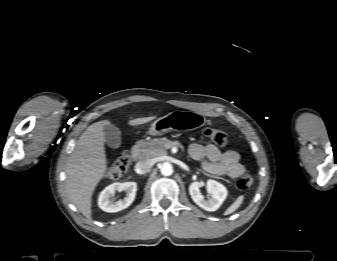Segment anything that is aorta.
<instances>
[{
	"label": "aorta",
	"mask_w": 337,
	"mask_h": 261,
	"mask_svg": "<svg viewBox=\"0 0 337 261\" xmlns=\"http://www.w3.org/2000/svg\"><path fill=\"white\" fill-rule=\"evenodd\" d=\"M161 174L164 176H170L173 173V167L169 162H164L160 166Z\"/></svg>",
	"instance_id": "1"
}]
</instances>
